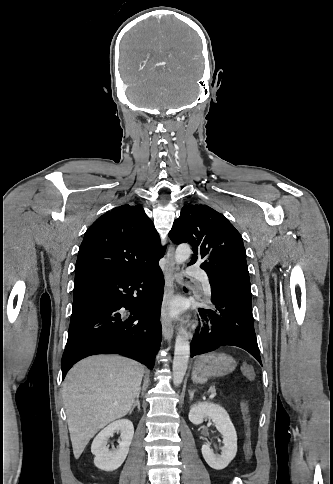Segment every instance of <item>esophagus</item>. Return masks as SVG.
<instances>
[{"mask_svg": "<svg viewBox=\"0 0 333 484\" xmlns=\"http://www.w3.org/2000/svg\"><path fill=\"white\" fill-rule=\"evenodd\" d=\"M177 277L174 246L171 244L167 252V263L165 267V290L161 305V324L164 337L167 341L173 338V324L169 316V304L174 297V280Z\"/></svg>", "mask_w": 333, "mask_h": 484, "instance_id": "34e87169", "label": "esophagus"}]
</instances>
